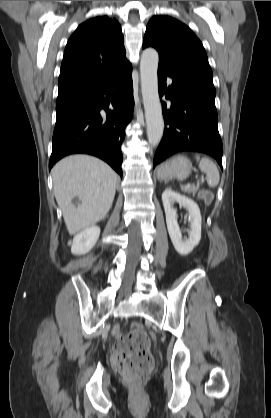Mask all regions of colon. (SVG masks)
<instances>
[{
  "instance_id": "obj_1",
  "label": "colon",
  "mask_w": 271,
  "mask_h": 418,
  "mask_svg": "<svg viewBox=\"0 0 271 418\" xmlns=\"http://www.w3.org/2000/svg\"><path fill=\"white\" fill-rule=\"evenodd\" d=\"M200 197L205 203H209L212 194L203 191ZM114 331L119 333L118 328H115ZM149 346L150 341L146 332L139 328L133 329L121 337L111 355V364L115 372L130 383L143 381L152 370L154 363Z\"/></svg>"
}]
</instances>
